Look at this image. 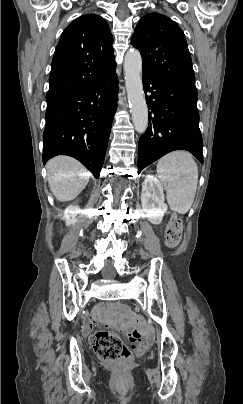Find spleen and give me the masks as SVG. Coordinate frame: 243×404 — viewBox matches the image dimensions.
Here are the masks:
<instances>
[{
  "label": "spleen",
  "mask_w": 243,
  "mask_h": 404,
  "mask_svg": "<svg viewBox=\"0 0 243 404\" xmlns=\"http://www.w3.org/2000/svg\"><path fill=\"white\" fill-rule=\"evenodd\" d=\"M157 174L170 210L187 214L195 200L198 184V166L191 154L177 150L163 156L157 164Z\"/></svg>",
  "instance_id": "1"
}]
</instances>
